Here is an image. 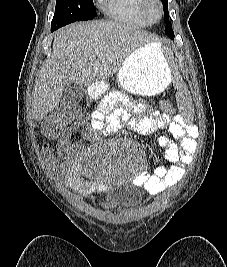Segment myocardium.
Listing matches in <instances>:
<instances>
[{
    "instance_id": "1",
    "label": "myocardium",
    "mask_w": 227,
    "mask_h": 267,
    "mask_svg": "<svg viewBox=\"0 0 227 267\" xmlns=\"http://www.w3.org/2000/svg\"><path fill=\"white\" fill-rule=\"evenodd\" d=\"M154 4L157 7V17L153 18L150 13V6ZM140 9L143 16L149 23H156L163 17L164 9L161 0H141Z\"/></svg>"
}]
</instances>
